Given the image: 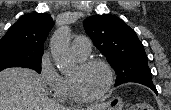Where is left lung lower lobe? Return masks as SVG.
Segmentation results:
<instances>
[{
  "mask_svg": "<svg viewBox=\"0 0 171 110\" xmlns=\"http://www.w3.org/2000/svg\"><path fill=\"white\" fill-rule=\"evenodd\" d=\"M147 87L151 88L156 94H158L156 87L154 86V84H146Z\"/></svg>",
  "mask_w": 171,
  "mask_h": 110,
  "instance_id": "0a47b994",
  "label": "left lung lower lobe"
}]
</instances>
